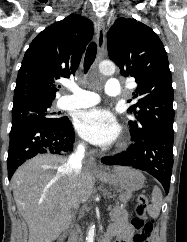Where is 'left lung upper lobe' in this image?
Returning <instances> with one entry per match:
<instances>
[{"label":"left lung upper lobe","mask_w":187,"mask_h":242,"mask_svg":"<svg viewBox=\"0 0 187 242\" xmlns=\"http://www.w3.org/2000/svg\"><path fill=\"white\" fill-rule=\"evenodd\" d=\"M108 54L124 77L138 84L132 93L135 103L128 108L132 140L154 135H174L173 88L164 46L147 25L130 18H118L108 35ZM128 102H131L129 100Z\"/></svg>","instance_id":"5c2ea615"}]
</instances>
